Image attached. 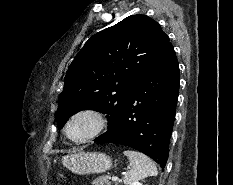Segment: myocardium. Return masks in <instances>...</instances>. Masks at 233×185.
<instances>
[{
  "label": "myocardium",
  "instance_id": "1",
  "mask_svg": "<svg viewBox=\"0 0 233 185\" xmlns=\"http://www.w3.org/2000/svg\"><path fill=\"white\" fill-rule=\"evenodd\" d=\"M85 115L91 116L92 118H94L96 122V126L94 130L86 137L82 139H73L69 134L70 125L75 118L79 116H85ZM107 126H108V118L103 111L96 109V108H84V109L76 111L69 117L65 125V134L67 138L73 143L82 144V143L89 142L97 138L98 136H100L106 130Z\"/></svg>",
  "mask_w": 233,
  "mask_h": 185
}]
</instances>
